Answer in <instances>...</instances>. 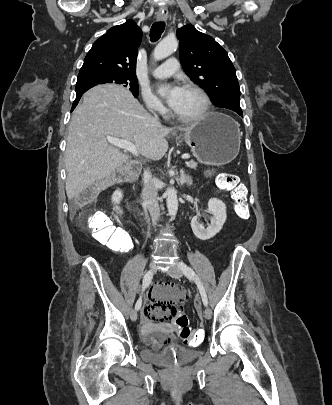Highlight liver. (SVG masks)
<instances>
[{"instance_id":"obj_1","label":"liver","mask_w":332,"mask_h":405,"mask_svg":"<svg viewBox=\"0 0 332 405\" xmlns=\"http://www.w3.org/2000/svg\"><path fill=\"white\" fill-rule=\"evenodd\" d=\"M192 126L177 130L187 132ZM172 130L162 127L123 87L106 84L91 88L75 108L69 124L64 156L68 199L131 158L110 144L107 136L132 142L141 156L160 160L168 150L166 137Z\"/></svg>"}]
</instances>
